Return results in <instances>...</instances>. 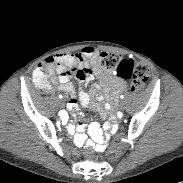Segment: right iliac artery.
I'll use <instances>...</instances> for the list:
<instances>
[{
    "label": "right iliac artery",
    "mask_w": 183,
    "mask_h": 183,
    "mask_svg": "<svg viewBox=\"0 0 183 183\" xmlns=\"http://www.w3.org/2000/svg\"><path fill=\"white\" fill-rule=\"evenodd\" d=\"M60 98H62V95L59 96ZM61 115V117L64 116L63 112L59 113Z\"/></svg>",
    "instance_id": "right-iliac-artery-1"
}]
</instances>
